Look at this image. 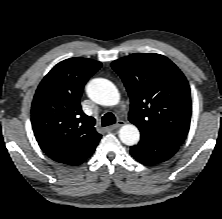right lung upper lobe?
Wrapping results in <instances>:
<instances>
[{
  "mask_svg": "<svg viewBox=\"0 0 222 219\" xmlns=\"http://www.w3.org/2000/svg\"><path fill=\"white\" fill-rule=\"evenodd\" d=\"M102 64L86 58L61 61L44 77L35 93L31 122L36 140L51 159L79 165L95 150L101 135L95 119L80 106L85 83Z\"/></svg>",
  "mask_w": 222,
  "mask_h": 219,
  "instance_id": "1",
  "label": "right lung upper lobe"
}]
</instances>
